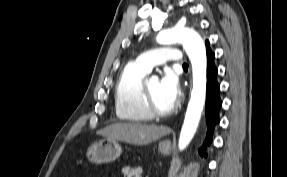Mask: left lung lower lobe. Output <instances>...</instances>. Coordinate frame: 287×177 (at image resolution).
<instances>
[{
  "label": "left lung lower lobe",
  "instance_id": "0a47b994",
  "mask_svg": "<svg viewBox=\"0 0 287 177\" xmlns=\"http://www.w3.org/2000/svg\"><path fill=\"white\" fill-rule=\"evenodd\" d=\"M206 52H207V90H206V124L207 131L205 142L210 145L212 142V133L216 125L219 124V110L222 105V101L219 96L220 85L216 79L217 68L214 64L215 55L210 49L209 41L206 40ZM205 143L202 148L199 149V153L202 157H206V153L203 151Z\"/></svg>",
  "mask_w": 287,
  "mask_h": 177
}]
</instances>
